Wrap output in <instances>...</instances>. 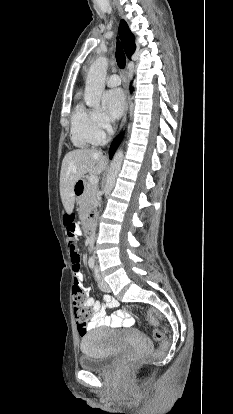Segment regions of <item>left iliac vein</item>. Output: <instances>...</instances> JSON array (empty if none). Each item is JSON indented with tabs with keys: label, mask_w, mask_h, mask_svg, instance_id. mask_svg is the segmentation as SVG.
<instances>
[{
	"label": "left iliac vein",
	"mask_w": 233,
	"mask_h": 414,
	"mask_svg": "<svg viewBox=\"0 0 233 414\" xmlns=\"http://www.w3.org/2000/svg\"><path fill=\"white\" fill-rule=\"evenodd\" d=\"M98 285H99V288L103 292H110L111 291L109 285L107 284V282L102 277L100 278Z\"/></svg>",
	"instance_id": "4c4485c4"
}]
</instances>
